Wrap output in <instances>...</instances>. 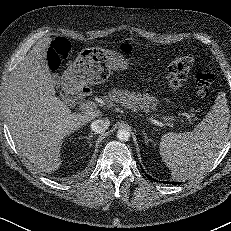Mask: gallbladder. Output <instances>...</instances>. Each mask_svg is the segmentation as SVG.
Listing matches in <instances>:
<instances>
[{"label":"gallbladder","instance_id":"bac80fb5","mask_svg":"<svg viewBox=\"0 0 231 231\" xmlns=\"http://www.w3.org/2000/svg\"><path fill=\"white\" fill-rule=\"evenodd\" d=\"M54 84L59 85V76L53 75Z\"/></svg>","mask_w":231,"mask_h":231}]
</instances>
